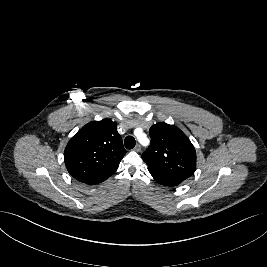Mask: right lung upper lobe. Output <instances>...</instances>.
Returning <instances> with one entry per match:
<instances>
[{"mask_svg": "<svg viewBox=\"0 0 267 267\" xmlns=\"http://www.w3.org/2000/svg\"><path fill=\"white\" fill-rule=\"evenodd\" d=\"M125 153L116 123L103 119L86 124L70 139L64 161L72 177L90 183L114 173Z\"/></svg>", "mask_w": 267, "mask_h": 267, "instance_id": "cb5924a9", "label": "right lung upper lobe"}]
</instances>
